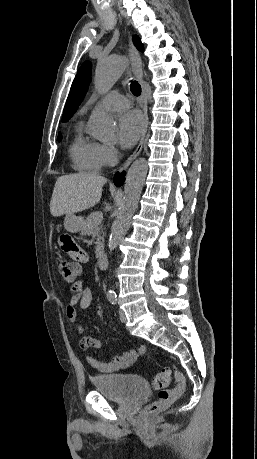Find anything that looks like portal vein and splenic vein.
<instances>
[{
	"label": "portal vein and splenic vein",
	"mask_w": 257,
	"mask_h": 459,
	"mask_svg": "<svg viewBox=\"0 0 257 459\" xmlns=\"http://www.w3.org/2000/svg\"><path fill=\"white\" fill-rule=\"evenodd\" d=\"M95 219L97 222H101L103 220L102 212H97Z\"/></svg>",
	"instance_id": "portal-vein-and-splenic-vein-1"
}]
</instances>
